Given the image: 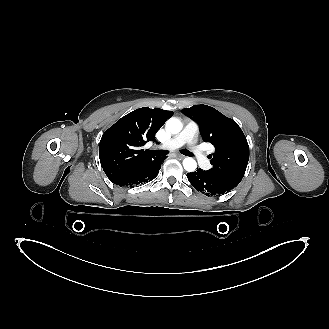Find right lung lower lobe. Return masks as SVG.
I'll use <instances>...</instances> for the list:
<instances>
[{
	"instance_id": "obj_1",
	"label": "right lung lower lobe",
	"mask_w": 329,
	"mask_h": 329,
	"mask_svg": "<svg viewBox=\"0 0 329 329\" xmlns=\"http://www.w3.org/2000/svg\"><path fill=\"white\" fill-rule=\"evenodd\" d=\"M166 157H156L154 160L147 162L135 172L115 180H111L120 187H134L153 180L161 168L162 162Z\"/></svg>"
}]
</instances>
